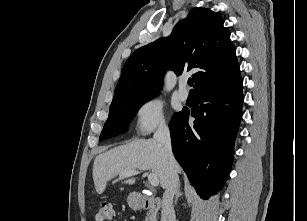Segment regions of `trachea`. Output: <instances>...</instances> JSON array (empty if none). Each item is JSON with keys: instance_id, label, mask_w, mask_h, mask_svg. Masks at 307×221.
I'll return each mask as SVG.
<instances>
[{"instance_id": "trachea-1", "label": "trachea", "mask_w": 307, "mask_h": 221, "mask_svg": "<svg viewBox=\"0 0 307 221\" xmlns=\"http://www.w3.org/2000/svg\"><path fill=\"white\" fill-rule=\"evenodd\" d=\"M188 85H189V86H193V79H189V80H188Z\"/></svg>"}]
</instances>
